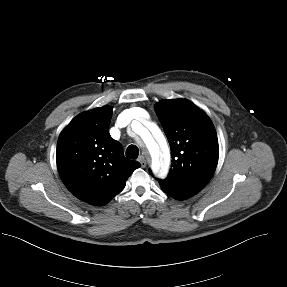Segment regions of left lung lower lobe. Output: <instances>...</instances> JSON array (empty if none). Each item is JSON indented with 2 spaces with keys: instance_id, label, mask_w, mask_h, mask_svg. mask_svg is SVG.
Here are the masks:
<instances>
[{
  "instance_id": "1",
  "label": "left lung lower lobe",
  "mask_w": 287,
  "mask_h": 287,
  "mask_svg": "<svg viewBox=\"0 0 287 287\" xmlns=\"http://www.w3.org/2000/svg\"><path fill=\"white\" fill-rule=\"evenodd\" d=\"M164 191V190H163ZM165 192V191H164ZM165 193H167V192H165ZM168 195H170V196H172L171 194H169V193H167ZM173 198H175V199H178V198H176V197H174V196H172ZM179 200V199H178Z\"/></svg>"
}]
</instances>
